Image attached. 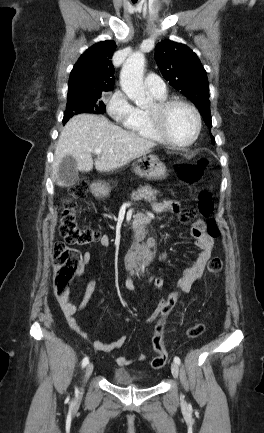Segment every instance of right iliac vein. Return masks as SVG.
<instances>
[{
    "label": "right iliac vein",
    "instance_id": "right-iliac-vein-1",
    "mask_svg": "<svg viewBox=\"0 0 264 433\" xmlns=\"http://www.w3.org/2000/svg\"><path fill=\"white\" fill-rule=\"evenodd\" d=\"M93 369H94L93 363H89L86 367V370H85V375H84V379H83L84 384L87 382L88 378L91 376ZM82 390H83V387L81 388V391Z\"/></svg>",
    "mask_w": 264,
    "mask_h": 433
}]
</instances>
